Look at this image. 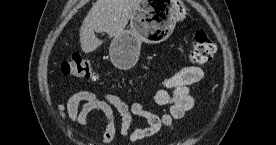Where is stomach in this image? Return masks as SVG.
<instances>
[{
  "instance_id": "stomach-1",
  "label": "stomach",
  "mask_w": 276,
  "mask_h": 145,
  "mask_svg": "<svg viewBox=\"0 0 276 145\" xmlns=\"http://www.w3.org/2000/svg\"><path fill=\"white\" fill-rule=\"evenodd\" d=\"M186 14V7L177 1L140 0L131 15L130 28L111 41L109 55L113 65L120 70L132 68L142 42L158 44L167 40Z\"/></svg>"
}]
</instances>
